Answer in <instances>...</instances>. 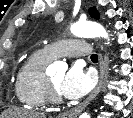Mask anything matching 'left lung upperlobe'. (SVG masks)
Returning <instances> with one entry per match:
<instances>
[{"label": "left lung upper lobe", "mask_w": 133, "mask_h": 118, "mask_svg": "<svg viewBox=\"0 0 133 118\" xmlns=\"http://www.w3.org/2000/svg\"><path fill=\"white\" fill-rule=\"evenodd\" d=\"M89 14L91 15V17H93L95 19L99 18V13H98V11L96 10L95 7L89 9Z\"/></svg>", "instance_id": "5c2ea615"}]
</instances>
